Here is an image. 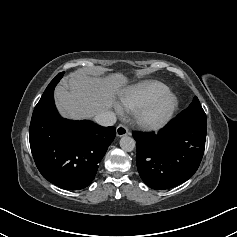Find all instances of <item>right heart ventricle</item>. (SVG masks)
Wrapping results in <instances>:
<instances>
[{
  "label": "right heart ventricle",
  "mask_w": 237,
  "mask_h": 237,
  "mask_svg": "<svg viewBox=\"0 0 237 237\" xmlns=\"http://www.w3.org/2000/svg\"><path fill=\"white\" fill-rule=\"evenodd\" d=\"M169 91L162 82L155 80L142 81L128 87L119 98L123 110H136L145 102Z\"/></svg>",
  "instance_id": "1"
}]
</instances>
